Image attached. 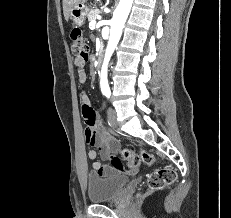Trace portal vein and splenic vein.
I'll return each instance as SVG.
<instances>
[{
	"label": "portal vein and splenic vein",
	"instance_id": "obj_1",
	"mask_svg": "<svg viewBox=\"0 0 231 218\" xmlns=\"http://www.w3.org/2000/svg\"><path fill=\"white\" fill-rule=\"evenodd\" d=\"M95 25H96V21L95 20H93V21H91L90 23H89V27H95Z\"/></svg>",
	"mask_w": 231,
	"mask_h": 218
}]
</instances>
